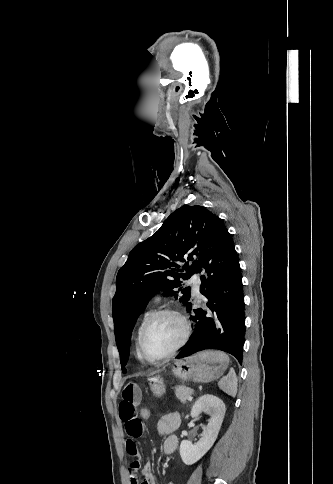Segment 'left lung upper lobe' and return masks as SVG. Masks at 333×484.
<instances>
[{
	"instance_id": "obj_1",
	"label": "left lung upper lobe",
	"mask_w": 333,
	"mask_h": 484,
	"mask_svg": "<svg viewBox=\"0 0 333 484\" xmlns=\"http://www.w3.org/2000/svg\"><path fill=\"white\" fill-rule=\"evenodd\" d=\"M216 217L202 206H182L154 235L133 248L118 271L112 314L123 373H126L124 366L128 360L132 329L153 292L163 290L184 305L188 304L190 288H183L181 279L192 276L196 259ZM184 258L188 262L181 266Z\"/></svg>"
}]
</instances>
